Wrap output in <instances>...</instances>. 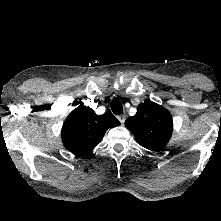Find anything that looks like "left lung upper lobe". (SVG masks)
Masks as SVG:
<instances>
[{
  "mask_svg": "<svg viewBox=\"0 0 221 221\" xmlns=\"http://www.w3.org/2000/svg\"><path fill=\"white\" fill-rule=\"evenodd\" d=\"M125 125L141 146L152 151L164 148L173 130L170 113L151 101L140 104L136 115L129 117Z\"/></svg>",
  "mask_w": 221,
  "mask_h": 221,
  "instance_id": "5c2ea615",
  "label": "left lung upper lobe"
}]
</instances>
